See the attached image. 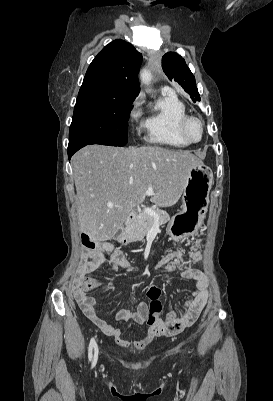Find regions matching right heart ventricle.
I'll list each match as a JSON object with an SVG mask.
<instances>
[{
    "label": "right heart ventricle",
    "instance_id": "1",
    "mask_svg": "<svg viewBox=\"0 0 273 401\" xmlns=\"http://www.w3.org/2000/svg\"><path fill=\"white\" fill-rule=\"evenodd\" d=\"M187 116V106L178 95L162 93L148 106L142 125L150 142L184 148L189 144L179 136L177 127Z\"/></svg>",
    "mask_w": 273,
    "mask_h": 401
}]
</instances>
